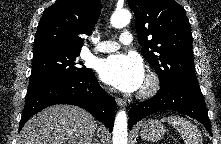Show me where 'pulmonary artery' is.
Here are the masks:
<instances>
[{"label": "pulmonary artery", "instance_id": "e3ab8cb5", "mask_svg": "<svg viewBox=\"0 0 221 144\" xmlns=\"http://www.w3.org/2000/svg\"><path fill=\"white\" fill-rule=\"evenodd\" d=\"M132 42V35L129 31H123L120 35L119 42L116 41H102L97 44L95 50L102 53H109L116 51L120 45H128Z\"/></svg>", "mask_w": 221, "mask_h": 144}]
</instances>
